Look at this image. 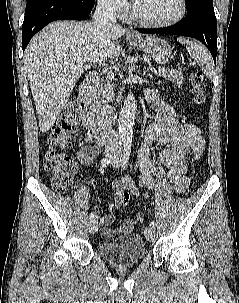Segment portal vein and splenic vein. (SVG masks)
Masks as SVG:
<instances>
[{
	"label": "portal vein and splenic vein",
	"mask_w": 239,
	"mask_h": 303,
	"mask_svg": "<svg viewBox=\"0 0 239 303\" xmlns=\"http://www.w3.org/2000/svg\"><path fill=\"white\" fill-rule=\"evenodd\" d=\"M81 62H89V59H88V60H81ZM99 64H101V63H99ZM150 69L155 71L154 68H151V67H150ZM164 71H165L164 68H158V72H164Z\"/></svg>",
	"instance_id": "obj_1"
}]
</instances>
